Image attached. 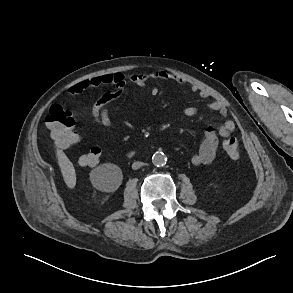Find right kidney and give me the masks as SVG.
<instances>
[{
  "label": "right kidney",
  "mask_w": 293,
  "mask_h": 293,
  "mask_svg": "<svg viewBox=\"0 0 293 293\" xmlns=\"http://www.w3.org/2000/svg\"><path fill=\"white\" fill-rule=\"evenodd\" d=\"M101 172L103 173V178L113 185L112 188L116 189L119 187L122 181V171L119 166L106 163L101 166Z\"/></svg>",
  "instance_id": "1"
}]
</instances>
